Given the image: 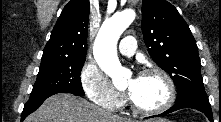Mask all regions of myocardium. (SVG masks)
Wrapping results in <instances>:
<instances>
[{"instance_id":"1","label":"myocardium","mask_w":221,"mask_h":122,"mask_svg":"<svg viewBox=\"0 0 221 122\" xmlns=\"http://www.w3.org/2000/svg\"><path fill=\"white\" fill-rule=\"evenodd\" d=\"M146 75H158L165 83L167 89V96L164 103L156 108H150V109L142 108L134 102V100L131 98L129 94L126 95L127 103L135 113L140 115L150 116V115L161 114L166 110H168L175 101L176 98L175 84L172 78L168 75V73L158 67L146 68L142 70L139 74V76H146Z\"/></svg>"}]
</instances>
